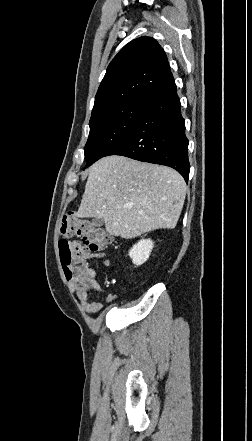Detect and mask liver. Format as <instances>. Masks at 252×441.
<instances>
[{"mask_svg":"<svg viewBox=\"0 0 252 441\" xmlns=\"http://www.w3.org/2000/svg\"><path fill=\"white\" fill-rule=\"evenodd\" d=\"M186 183L174 169L124 156H107L89 169L79 218H102L106 231L125 239L173 229L181 214Z\"/></svg>","mask_w":252,"mask_h":441,"instance_id":"liver-1","label":"liver"}]
</instances>
